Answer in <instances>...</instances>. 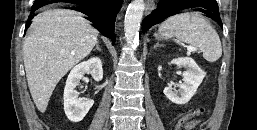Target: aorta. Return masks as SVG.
<instances>
[{"label":"aorta","mask_w":257,"mask_h":130,"mask_svg":"<svg viewBox=\"0 0 257 130\" xmlns=\"http://www.w3.org/2000/svg\"><path fill=\"white\" fill-rule=\"evenodd\" d=\"M145 9L144 0H133L126 11L124 31L127 44L136 47L139 40V29Z\"/></svg>","instance_id":"1"}]
</instances>
